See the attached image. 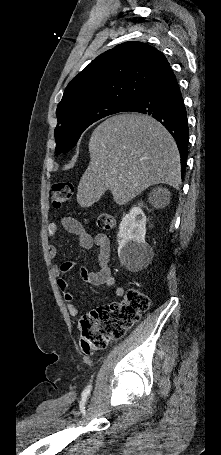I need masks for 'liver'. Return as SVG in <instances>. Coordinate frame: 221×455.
I'll use <instances>...</instances> for the list:
<instances>
[{
    "label": "liver",
    "instance_id": "liver-1",
    "mask_svg": "<svg viewBox=\"0 0 221 455\" xmlns=\"http://www.w3.org/2000/svg\"><path fill=\"white\" fill-rule=\"evenodd\" d=\"M90 163L82 175L77 202L90 207L110 190L125 205L143 190L159 183L178 188L180 155L171 134L150 116L114 115L93 131Z\"/></svg>",
    "mask_w": 221,
    "mask_h": 455
}]
</instances>
